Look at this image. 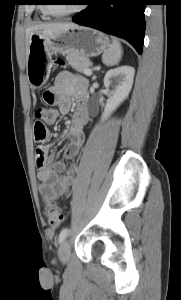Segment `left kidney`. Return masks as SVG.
I'll return each mask as SVG.
<instances>
[{"mask_svg":"<svg viewBox=\"0 0 181 300\" xmlns=\"http://www.w3.org/2000/svg\"><path fill=\"white\" fill-rule=\"evenodd\" d=\"M134 74V68L128 65L111 69L106 73L104 86L109 91V96L102 119H106L128 97L133 85Z\"/></svg>","mask_w":181,"mask_h":300,"instance_id":"left-kidney-1","label":"left kidney"}]
</instances>
